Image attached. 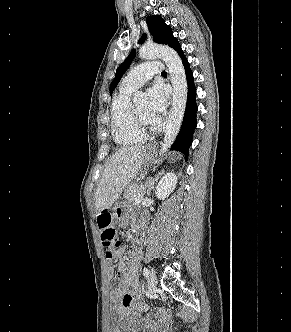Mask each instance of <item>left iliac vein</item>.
Masks as SVG:
<instances>
[{"instance_id":"1","label":"left iliac vein","mask_w":291,"mask_h":332,"mask_svg":"<svg viewBox=\"0 0 291 332\" xmlns=\"http://www.w3.org/2000/svg\"><path fill=\"white\" fill-rule=\"evenodd\" d=\"M148 289L150 291H154L156 284H157V276L154 270H151L149 272V276H148Z\"/></svg>"}]
</instances>
